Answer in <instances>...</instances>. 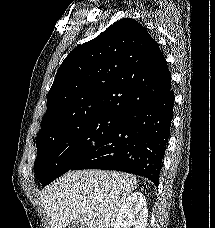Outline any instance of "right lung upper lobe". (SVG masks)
<instances>
[{"label":"right lung upper lobe","mask_w":215,"mask_h":228,"mask_svg":"<svg viewBox=\"0 0 215 228\" xmlns=\"http://www.w3.org/2000/svg\"><path fill=\"white\" fill-rule=\"evenodd\" d=\"M171 76L158 43L124 18L69 53L47 97L41 130L99 114L124 115L164 94Z\"/></svg>","instance_id":"cb5924a9"}]
</instances>
